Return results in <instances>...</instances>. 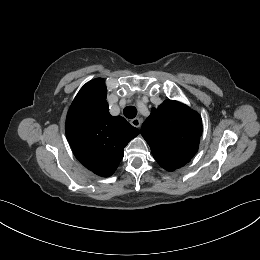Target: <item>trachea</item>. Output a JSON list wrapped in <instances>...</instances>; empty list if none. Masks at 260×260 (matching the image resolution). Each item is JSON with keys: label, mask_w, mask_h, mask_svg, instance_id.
I'll return each mask as SVG.
<instances>
[{"label": "trachea", "mask_w": 260, "mask_h": 260, "mask_svg": "<svg viewBox=\"0 0 260 260\" xmlns=\"http://www.w3.org/2000/svg\"><path fill=\"white\" fill-rule=\"evenodd\" d=\"M123 113L126 118L133 119L137 115V109L134 106H127L124 108Z\"/></svg>", "instance_id": "obj_1"}]
</instances>
